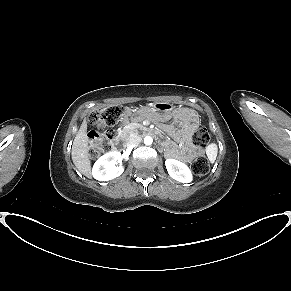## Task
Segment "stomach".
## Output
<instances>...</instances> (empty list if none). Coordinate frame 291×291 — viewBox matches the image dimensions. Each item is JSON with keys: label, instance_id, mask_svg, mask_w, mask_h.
Listing matches in <instances>:
<instances>
[{"label": "stomach", "instance_id": "0dacf381", "mask_svg": "<svg viewBox=\"0 0 291 291\" xmlns=\"http://www.w3.org/2000/svg\"><path fill=\"white\" fill-rule=\"evenodd\" d=\"M155 111L160 112L161 114H170L173 109L177 108L174 104L168 102H156L153 104Z\"/></svg>", "mask_w": 291, "mask_h": 291}]
</instances>
